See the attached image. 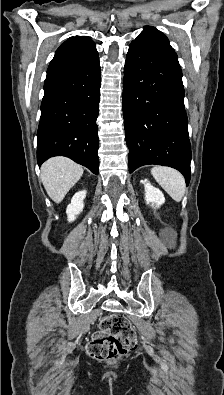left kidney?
<instances>
[{
  "label": "left kidney",
  "instance_id": "1",
  "mask_svg": "<svg viewBox=\"0 0 224 395\" xmlns=\"http://www.w3.org/2000/svg\"><path fill=\"white\" fill-rule=\"evenodd\" d=\"M145 200L147 204L151 203L152 207L159 208L164 202L165 197L162 191L151 185V183L145 181Z\"/></svg>",
  "mask_w": 224,
  "mask_h": 395
}]
</instances>
